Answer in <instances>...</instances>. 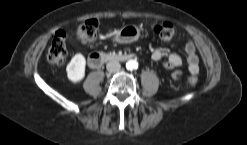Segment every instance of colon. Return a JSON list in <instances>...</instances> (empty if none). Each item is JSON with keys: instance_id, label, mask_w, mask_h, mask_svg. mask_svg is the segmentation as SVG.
<instances>
[{"instance_id": "1", "label": "colon", "mask_w": 247, "mask_h": 145, "mask_svg": "<svg viewBox=\"0 0 247 145\" xmlns=\"http://www.w3.org/2000/svg\"><path fill=\"white\" fill-rule=\"evenodd\" d=\"M99 22L97 19H88L80 23L75 33L77 38L82 42H87L95 39L98 32ZM155 34L164 40L171 39L175 34V27L172 23L165 22L158 24L154 27ZM66 33L62 30H58L52 39V43L48 49L47 58L53 64H62L67 56L66 47ZM182 75L180 70L173 72V78L178 79ZM190 86L195 85L198 82V78L195 75H191L186 80Z\"/></svg>"}]
</instances>
